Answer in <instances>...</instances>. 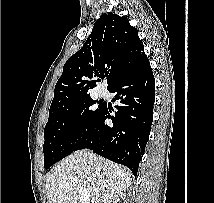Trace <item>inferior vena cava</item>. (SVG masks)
Returning <instances> with one entry per match:
<instances>
[{
  "label": "inferior vena cava",
  "instance_id": "602c4592",
  "mask_svg": "<svg viewBox=\"0 0 214 203\" xmlns=\"http://www.w3.org/2000/svg\"><path fill=\"white\" fill-rule=\"evenodd\" d=\"M88 155H89L90 157H93V154H92V153H88Z\"/></svg>",
  "mask_w": 214,
  "mask_h": 203
}]
</instances>
